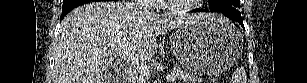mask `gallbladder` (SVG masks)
Here are the masks:
<instances>
[{"label": "gallbladder", "instance_id": "gallbladder-1", "mask_svg": "<svg viewBox=\"0 0 307 83\" xmlns=\"http://www.w3.org/2000/svg\"><path fill=\"white\" fill-rule=\"evenodd\" d=\"M106 77H107V79H108L109 77H112L111 72H109V70H108V72L106 73ZM107 82H113V81H107Z\"/></svg>", "mask_w": 307, "mask_h": 83}]
</instances>
